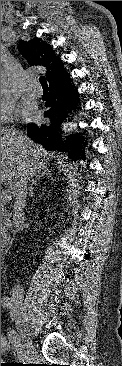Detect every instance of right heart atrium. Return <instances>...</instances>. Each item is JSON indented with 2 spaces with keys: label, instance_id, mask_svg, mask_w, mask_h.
Masks as SVG:
<instances>
[{
  "label": "right heart atrium",
  "instance_id": "d8ad5b80",
  "mask_svg": "<svg viewBox=\"0 0 122 366\" xmlns=\"http://www.w3.org/2000/svg\"><path fill=\"white\" fill-rule=\"evenodd\" d=\"M15 117V104L1 95V126L10 123Z\"/></svg>",
  "mask_w": 122,
  "mask_h": 366
}]
</instances>
